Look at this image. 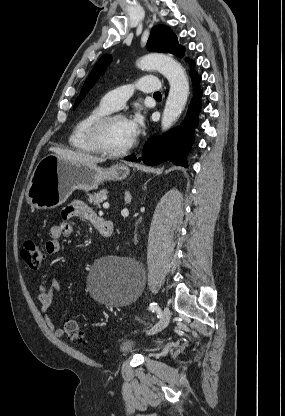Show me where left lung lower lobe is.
Instances as JSON below:
<instances>
[{"label": "left lung lower lobe", "instance_id": "left-lung-lower-lobe-1", "mask_svg": "<svg viewBox=\"0 0 285 416\" xmlns=\"http://www.w3.org/2000/svg\"><path fill=\"white\" fill-rule=\"evenodd\" d=\"M189 62L191 65H194L192 61ZM193 78L196 82L201 80L200 76L195 71H193ZM200 96L201 91L197 88L196 101L193 105H190L187 116L180 127L165 136L152 138L144 146L142 155L139 159H136L135 155H131L126 157L125 160L134 162L142 161L146 165H157L164 161H172L187 167L183 156L188 153L192 144L191 134L193 127L197 124L196 113L201 106L199 100Z\"/></svg>", "mask_w": 285, "mask_h": 416}]
</instances>
